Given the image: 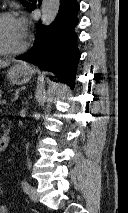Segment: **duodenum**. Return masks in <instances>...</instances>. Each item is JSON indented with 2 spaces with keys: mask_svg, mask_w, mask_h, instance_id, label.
Returning <instances> with one entry per match:
<instances>
[{
  "mask_svg": "<svg viewBox=\"0 0 128 213\" xmlns=\"http://www.w3.org/2000/svg\"><path fill=\"white\" fill-rule=\"evenodd\" d=\"M9 143H10V131L8 129L0 137V152L5 151L8 148Z\"/></svg>",
  "mask_w": 128,
  "mask_h": 213,
  "instance_id": "duodenum-1",
  "label": "duodenum"
}]
</instances>
